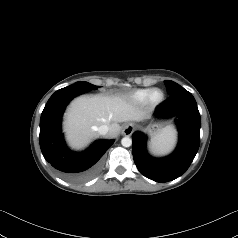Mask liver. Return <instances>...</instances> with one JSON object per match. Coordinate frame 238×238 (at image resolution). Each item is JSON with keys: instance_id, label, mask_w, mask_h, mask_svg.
<instances>
[{"instance_id": "obj_1", "label": "liver", "mask_w": 238, "mask_h": 238, "mask_svg": "<svg viewBox=\"0 0 238 238\" xmlns=\"http://www.w3.org/2000/svg\"><path fill=\"white\" fill-rule=\"evenodd\" d=\"M145 118V112L124 96H81L67 110L64 132L69 145L80 149L99 135L101 125H107L109 137H115L121 129L119 122Z\"/></svg>"}]
</instances>
